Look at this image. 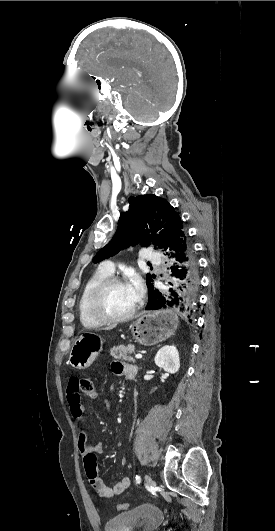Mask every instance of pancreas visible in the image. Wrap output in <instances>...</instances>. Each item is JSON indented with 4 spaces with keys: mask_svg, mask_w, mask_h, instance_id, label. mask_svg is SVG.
Wrapping results in <instances>:
<instances>
[{
    "mask_svg": "<svg viewBox=\"0 0 275 531\" xmlns=\"http://www.w3.org/2000/svg\"><path fill=\"white\" fill-rule=\"evenodd\" d=\"M134 345H119V347H113L110 349L111 357L114 359H119V361H130V363H135V359L130 357L131 353H135Z\"/></svg>",
    "mask_w": 275,
    "mask_h": 531,
    "instance_id": "1",
    "label": "pancreas"
}]
</instances>
